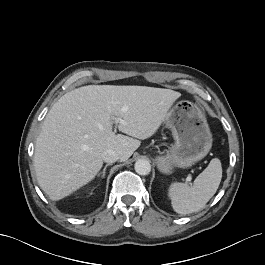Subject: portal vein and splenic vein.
Returning <instances> with one entry per match:
<instances>
[{
	"label": "portal vein and splenic vein",
	"instance_id": "obj_1",
	"mask_svg": "<svg viewBox=\"0 0 265 265\" xmlns=\"http://www.w3.org/2000/svg\"><path fill=\"white\" fill-rule=\"evenodd\" d=\"M117 121L123 122V120H122V119H119V120H117ZM188 181H190V180H188Z\"/></svg>",
	"mask_w": 265,
	"mask_h": 265
}]
</instances>
